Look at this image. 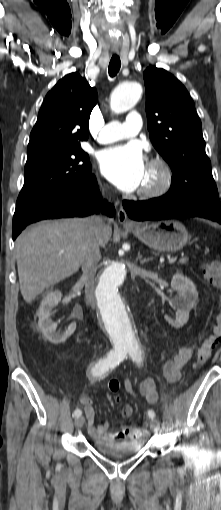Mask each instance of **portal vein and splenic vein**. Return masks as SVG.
Wrapping results in <instances>:
<instances>
[{"mask_svg":"<svg viewBox=\"0 0 221 510\" xmlns=\"http://www.w3.org/2000/svg\"><path fill=\"white\" fill-rule=\"evenodd\" d=\"M176 260H177V257H172V258H170V259H169V263H173V262H175ZM187 261H188V258H187V257L181 258V259L179 260V262H180V263H185V262H187Z\"/></svg>","mask_w":221,"mask_h":510,"instance_id":"1","label":"portal vein and splenic vein"}]
</instances>
